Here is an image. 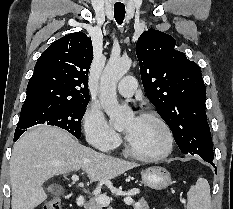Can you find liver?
<instances>
[{
  "label": "liver",
  "instance_id": "6515ba94",
  "mask_svg": "<svg viewBox=\"0 0 233 209\" xmlns=\"http://www.w3.org/2000/svg\"><path fill=\"white\" fill-rule=\"evenodd\" d=\"M138 165L83 146L56 127L39 126L14 144L10 160L12 209H34L47 199L49 178L83 170L91 181H108Z\"/></svg>",
  "mask_w": 233,
  "mask_h": 209
}]
</instances>
